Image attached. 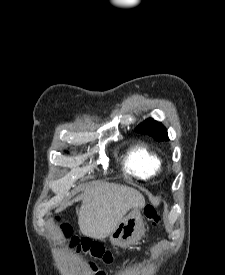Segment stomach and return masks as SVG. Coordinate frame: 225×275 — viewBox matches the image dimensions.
Instances as JSON below:
<instances>
[{
	"label": "stomach",
	"mask_w": 225,
	"mask_h": 275,
	"mask_svg": "<svg viewBox=\"0 0 225 275\" xmlns=\"http://www.w3.org/2000/svg\"><path fill=\"white\" fill-rule=\"evenodd\" d=\"M145 226L140 208H133L110 233L113 245L127 247L137 243L144 235Z\"/></svg>",
	"instance_id": "obj_1"
}]
</instances>
